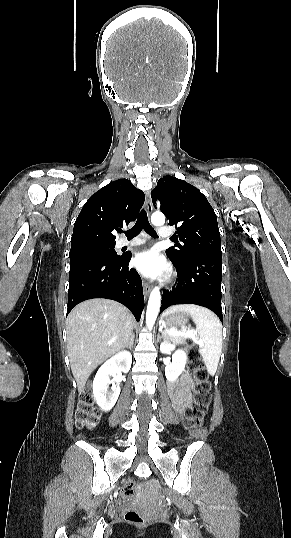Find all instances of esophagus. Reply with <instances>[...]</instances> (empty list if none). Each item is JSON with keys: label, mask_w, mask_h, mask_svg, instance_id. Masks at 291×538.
I'll list each match as a JSON object with an SVG mask.
<instances>
[{"label": "esophagus", "mask_w": 291, "mask_h": 538, "mask_svg": "<svg viewBox=\"0 0 291 538\" xmlns=\"http://www.w3.org/2000/svg\"><path fill=\"white\" fill-rule=\"evenodd\" d=\"M145 207H146V211H147L148 215H150L152 213V211H153V204H152V198H151L150 192L146 196ZM143 290H144L145 297H147L148 294L151 291L150 283L144 281L143 282Z\"/></svg>", "instance_id": "34e87169"}]
</instances>
